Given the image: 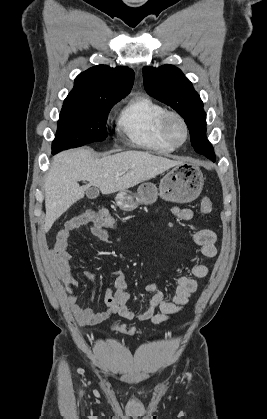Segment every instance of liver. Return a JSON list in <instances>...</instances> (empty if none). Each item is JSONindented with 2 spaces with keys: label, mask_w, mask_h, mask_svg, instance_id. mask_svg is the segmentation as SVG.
Returning a JSON list of instances; mask_svg holds the SVG:
<instances>
[{
  "label": "liver",
  "mask_w": 267,
  "mask_h": 419,
  "mask_svg": "<svg viewBox=\"0 0 267 419\" xmlns=\"http://www.w3.org/2000/svg\"><path fill=\"white\" fill-rule=\"evenodd\" d=\"M181 162L135 150L101 159L96 158L90 148L59 153L53 157L51 168L45 177V232L74 203L84 197L88 186L99 188L104 195L127 190ZM82 180L88 181L89 185L80 186L78 182Z\"/></svg>",
  "instance_id": "1"
}]
</instances>
